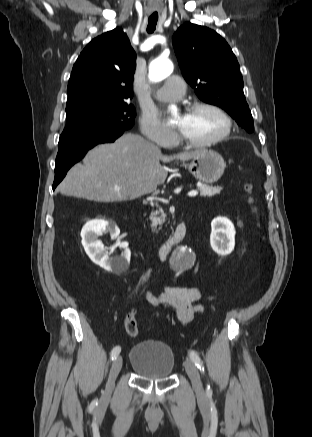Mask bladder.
I'll use <instances>...</instances> for the list:
<instances>
[{
  "label": "bladder",
  "mask_w": 312,
  "mask_h": 437,
  "mask_svg": "<svg viewBox=\"0 0 312 437\" xmlns=\"http://www.w3.org/2000/svg\"><path fill=\"white\" fill-rule=\"evenodd\" d=\"M129 364L138 376L161 380L171 376L175 368V355L167 343L146 340L131 348Z\"/></svg>",
  "instance_id": "1"
}]
</instances>
